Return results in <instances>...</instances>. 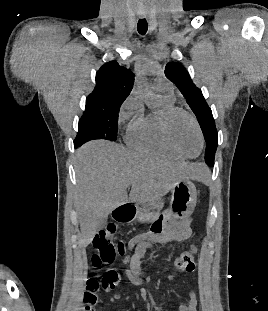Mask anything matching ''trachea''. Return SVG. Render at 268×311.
<instances>
[{"instance_id":"obj_1","label":"trachea","mask_w":268,"mask_h":311,"mask_svg":"<svg viewBox=\"0 0 268 311\" xmlns=\"http://www.w3.org/2000/svg\"><path fill=\"white\" fill-rule=\"evenodd\" d=\"M148 29L147 21L145 18L139 19L138 24H137V30L139 34L144 35L146 34Z\"/></svg>"}]
</instances>
